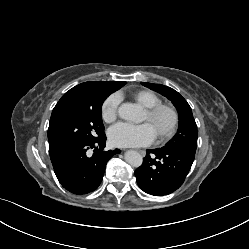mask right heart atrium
Listing matches in <instances>:
<instances>
[{
  "label": "right heart atrium",
  "instance_id": "obj_1",
  "mask_svg": "<svg viewBox=\"0 0 249 249\" xmlns=\"http://www.w3.org/2000/svg\"><path fill=\"white\" fill-rule=\"evenodd\" d=\"M119 103L120 99L116 94H112L104 100L101 107V114L105 122L110 123L116 120L118 116Z\"/></svg>",
  "mask_w": 249,
  "mask_h": 249
}]
</instances>
